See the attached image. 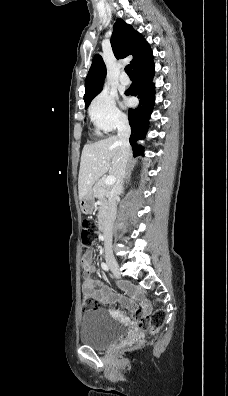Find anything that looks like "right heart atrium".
Instances as JSON below:
<instances>
[{
  "label": "right heart atrium",
  "instance_id": "obj_1",
  "mask_svg": "<svg viewBox=\"0 0 228 396\" xmlns=\"http://www.w3.org/2000/svg\"><path fill=\"white\" fill-rule=\"evenodd\" d=\"M88 111L92 123L100 131H113L126 122L125 115L117 107L115 95L108 91L96 95Z\"/></svg>",
  "mask_w": 228,
  "mask_h": 396
}]
</instances>
